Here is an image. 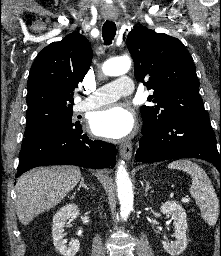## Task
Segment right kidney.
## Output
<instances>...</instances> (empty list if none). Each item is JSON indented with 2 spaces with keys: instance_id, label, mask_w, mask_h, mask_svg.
Returning a JSON list of instances; mask_svg holds the SVG:
<instances>
[{
  "instance_id": "1",
  "label": "right kidney",
  "mask_w": 221,
  "mask_h": 256,
  "mask_svg": "<svg viewBox=\"0 0 221 256\" xmlns=\"http://www.w3.org/2000/svg\"><path fill=\"white\" fill-rule=\"evenodd\" d=\"M79 215L78 206L75 204H69L62 207L53 217L52 237L53 243L56 248L63 256H75L79 251L80 243L78 240L72 242L70 247L66 246V242L63 239L65 223Z\"/></svg>"
}]
</instances>
